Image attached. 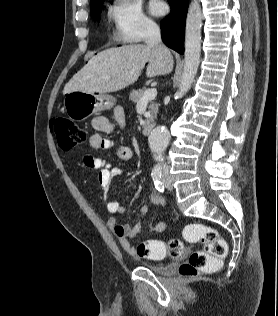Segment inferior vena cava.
Wrapping results in <instances>:
<instances>
[{
  "instance_id": "inferior-vena-cava-1",
  "label": "inferior vena cava",
  "mask_w": 278,
  "mask_h": 316,
  "mask_svg": "<svg viewBox=\"0 0 278 316\" xmlns=\"http://www.w3.org/2000/svg\"><path fill=\"white\" fill-rule=\"evenodd\" d=\"M144 40L148 46L161 45V34L158 25L152 21H149L144 26ZM163 171H168V167L165 163H162Z\"/></svg>"
}]
</instances>
